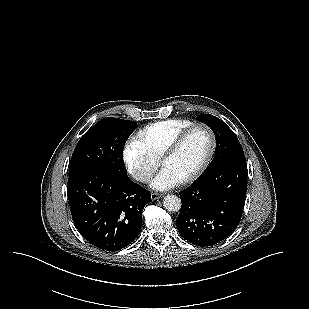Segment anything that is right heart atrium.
I'll list each match as a JSON object with an SVG mask.
<instances>
[{
    "mask_svg": "<svg viewBox=\"0 0 309 309\" xmlns=\"http://www.w3.org/2000/svg\"><path fill=\"white\" fill-rule=\"evenodd\" d=\"M123 158L132 177L142 183L147 182L159 166V160L136 140L126 143Z\"/></svg>",
    "mask_w": 309,
    "mask_h": 309,
    "instance_id": "obj_1",
    "label": "right heart atrium"
}]
</instances>
